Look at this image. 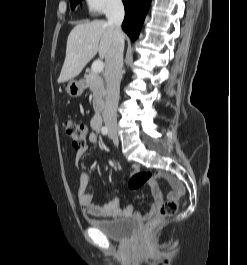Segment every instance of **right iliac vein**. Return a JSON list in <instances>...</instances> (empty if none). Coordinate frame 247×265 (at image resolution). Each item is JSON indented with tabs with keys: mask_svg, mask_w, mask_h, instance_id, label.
<instances>
[{
	"mask_svg": "<svg viewBox=\"0 0 247 265\" xmlns=\"http://www.w3.org/2000/svg\"><path fill=\"white\" fill-rule=\"evenodd\" d=\"M117 129L115 127L111 128L112 133H116Z\"/></svg>",
	"mask_w": 247,
	"mask_h": 265,
	"instance_id": "right-iliac-vein-1",
	"label": "right iliac vein"
}]
</instances>
